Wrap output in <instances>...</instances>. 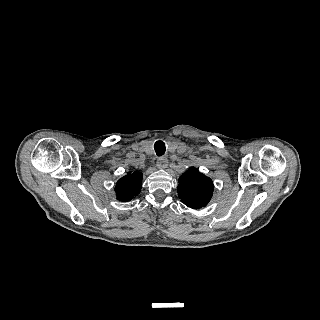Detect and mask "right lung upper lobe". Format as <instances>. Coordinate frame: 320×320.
<instances>
[{
  "mask_svg": "<svg viewBox=\"0 0 320 320\" xmlns=\"http://www.w3.org/2000/svg\"><path fill=\"white\" fill-rule=\"evenodd\" d=\"M143 174L140 172L128 173L117 181L115 192L117 199L123 202L130 201L141 191Z\"/></svg>",
  "mask_w": 320,
  "mask_h": 320,
  "instance_id": "right-lung-upper-lobe-1",
  "label": "right lung upper lobe"
}]
</instances>
